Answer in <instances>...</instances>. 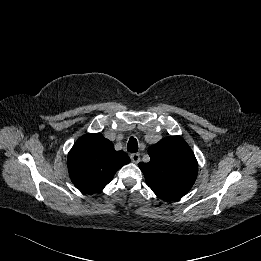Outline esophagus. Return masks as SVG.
Masks as SVG:
<instances>
[{
	"instance_id": "obj_1",
	"label": "esophagus",
	"mask_w": 261,
	"mask_h": 261,
	"mask_svg": "<svg viewBox=\"0 0 261 261\" xmlns=\"http://www.w3.org/2000/svg\"><path fill=\"white\" fill-rule=\"evenodd\" d=\"M130 159L132 160L133 163H139L140 162V154L133 153V154L130 155Z\"/></svg>"
}]
</instances>
